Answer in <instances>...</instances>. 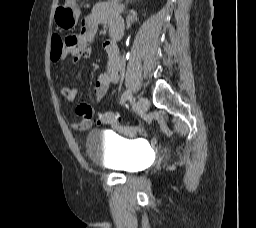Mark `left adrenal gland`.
Listing matches in <instances>:
<instances>
[{"label": "left adrenal gland", "instance_id": "1", "mask_svg": "<svg viewBox=\"0 0 256 228\" xmlns=\"http://www.w3.org/2000/svg\"><path fill=\"white\" fill-rule=\"evenodd\" d=\"M129 1H130V0H127V1H126V4H128Z\"/></svg>", "mask_w": 256, "mask_h": 228}]
</instances>
